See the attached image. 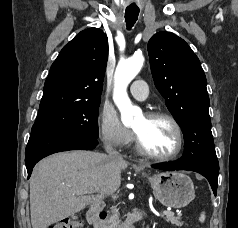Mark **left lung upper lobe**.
<instances>
[{
  "label": "left lung upper lobe",
  "mask_w": 238,
  "mask_h": 228,
  "mask_svg": "<svg viewBox=\"0 0 238 228\" xmlns=\"http://www.w3.org/2000/svg\"><path fill=\"white\" fill-rule=\"evenodd\" d=\"M147 49L155 86L184 135L185 152L178 161L182 165L218 164L207 81L198 57L171 32L153 35Z\"/></svg>",
  "instance_id": "1"
}]
</instances>
